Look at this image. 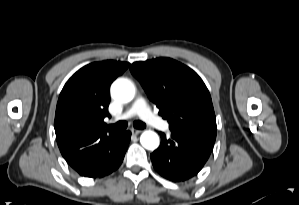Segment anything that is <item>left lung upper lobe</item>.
Returning a JSON list of instances; mask_svg holds the SVG:
<instances>
[{
  "instance_id": "obj_1",
  "label": "left lung upper lobe",
  "mask_w": 299,
  "mask_h": 205,
  "mask_svg": "<svg viewBox=\"0 0 299 205\" xmlns=\"http://www.w3.org/2000/svg\"><path fill=\"white\" fill-rule=\"evenodd\" d=\"M171 131L216 134L210 93L189 67L170 58L135 62L130 68Z\"/></svg>"
}]
</instances>
